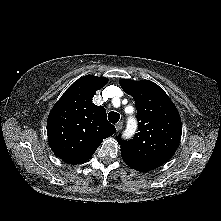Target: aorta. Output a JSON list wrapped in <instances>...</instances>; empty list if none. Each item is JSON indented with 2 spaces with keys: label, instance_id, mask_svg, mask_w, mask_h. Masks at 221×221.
<instances>
[{
  "label": "aorta",
  "instance_id": "obj_1",
  "mask_svg": "<svg viewBox=\"0 0 221 221\" xmlns=\"http://www.w3.org/2000/svg\"><path fill=\"white\" fill-rule=\"evenodd\" d=\"M135 130H136V121L134 119H130L128 121V128L125 133V136L131 137L134 134Z\"/></svg>",
  "mask_w": 221,
  "mask_h": 221
}]
</instances>
